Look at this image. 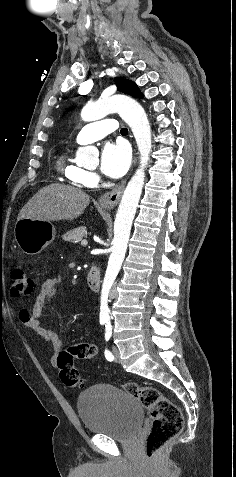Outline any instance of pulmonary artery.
Returning a JSON list of instances; mask_svg holds the SVG:
<instances>
[{
    "instance_id": "1",
    "label": "pulmonary artery",
    "mask_w": 236,
    "mask_h": 477,
    "mask_svg": "<svg viewBox=\"0 0 236 477\" xmlns=\"http://www.w3.org/2000/svg\"><path fill=\"white\" fill-rule=\"evenodd\" d=\"M118 129L115 119L108 118L84 126L77 135L79 144H86L104 138L108 133Z\"/></svg>"
}]
</instances>
